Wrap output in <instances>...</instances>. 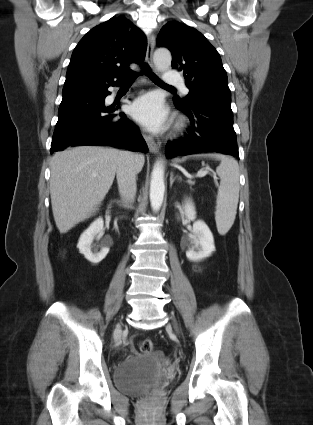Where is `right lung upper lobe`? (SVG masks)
<instances>
[{"label":"right lung upper lobe","instance_id":"cb5924a9","mask_svg":"<svg viewBox=\"0 0 313 425\" xmlns=\"http://www.w3.org/2000/svg\"><path fill=\"white\" fill-rule=\"evenodd\" d=\"M147 48L140 29L122 16L92 28L75 47L64 86L122 81L133 74L131 63H141Z\"/></svg>","mask_w":313,"mask_h":425}]
</instances>
